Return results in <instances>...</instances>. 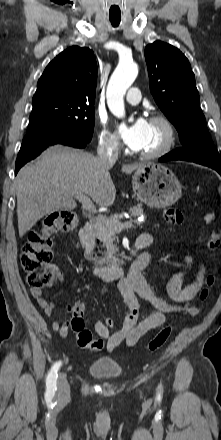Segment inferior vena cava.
Returning a JSON list of instances; mask_svg holds the SVG:
<instances>
[{
  "mask_svg": "<svg viewBox=\"0 0 221 440\" xmlns=\"http://www.w3.org/2000/svg\"><path fill=\"white\" fill-rule=\"evenodd\" d=\"M97 157L103 162L113 165L118 159V147L116 142L104 140L97 147Z\"/></svg>",
  "mask_w": 221,
  "mask_h": 440,
  "instance_id": "inferior-vena-cava-1",
  "label": "inferior vena cava"
}]
</instances>
